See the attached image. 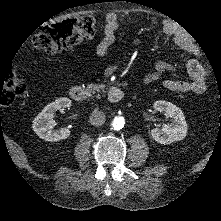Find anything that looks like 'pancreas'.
<instances>
[{"label":"pancreas","instance_id":"1","mask_svg":"<svg viewBox=\"0 0 221 221\" xmlns=\"http://www.w3.org/2000/svg\"><path fill=\"white\" fill-rule=\"evenodd\" d=\"M100 89V85L98 84H88L86 86V91L88 92L89 96L95 94L96 92H100Z\"/></svg>","mask_w":221,"mask_h":221}]
</instances>
